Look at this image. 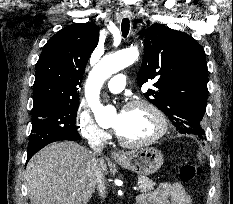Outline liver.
I'll return each instance as SVG.
<instances>
[{
  "label": "liver",
  "instance_id": "liver-1",
  "mask_svg": "<svg viewBox=\"0 0 233 204\" xmlns=\"http://www.w3.org/2000/svg\"><path fill=\"white\" fill-rule=\"evenodd\" d=\"M107 171L104 159L73 141L54 142L29 161L26 169L31 204H87L95 191L94 167Z\"/></svg>",
  "mask_w": 233,
  "mask_h": 204
}]
</instances>
